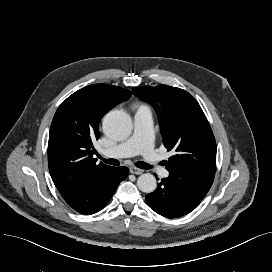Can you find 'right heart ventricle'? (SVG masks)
Returning <instances> with one entry per match:
<instances>
[{"mask_svg": "<svg viewBox=\"0 0 272 272\" xmlns=\"http://www.w3.org/2000/svg\"><path fill=\"white\" fill-rule=\"evenodd\" d=\"M139 108H147V107L145 105H141V106H139Z\"/></svg>", "mask_w": 272, "mask_h": 272, "instance_id": "right-heart-ventricle-1", "label": "right heart ventricle"}]
</instances>
